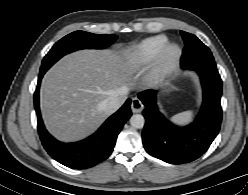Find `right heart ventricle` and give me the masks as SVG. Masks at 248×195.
Returning <instances> with one entry per match:
<instances>
[{
	"instance_id": "e07e8e85",
	"label": "right heart ventricle",
	"mask_w": 248,
	"mask_h": 195,
	"mask_svg": "<svg viewBox=\"0 0 248 195\" xmlns=\"http://www.w3.org/2000/svg\"><path fill=\"white\" fill-rule=\"evenodd\" d=\"M169 39L164 34L148 37L125 51V63L133 69L139 70L149 66L159 56Z\"/></svg>"
}]
</instances>
